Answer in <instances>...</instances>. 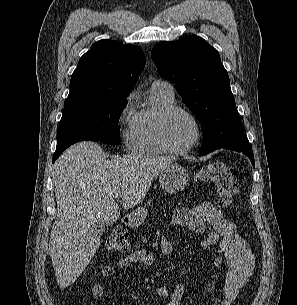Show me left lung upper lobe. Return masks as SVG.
<instances>
[{"mask_svg": "<svg viewBox=\"0 0 297 305\" xmlns=\"http://www.w3.org/2000/svg\"><path fill=\"white\" fill-rule=\"evenodd\" d=\"M159 74L175 88L202 123L200 153L224 145L248 143L218 51L204 39L189 35L160 42L151 52Z\"/></svg>", "mask_w": 297, "mask_h": 305, "instance_id": "1", "label": "left lung upper lobe"}]
</instances>
